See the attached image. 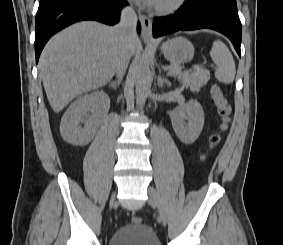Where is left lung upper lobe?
<instances>
[{"mask_svg":"<svg viewBox=\"0 0 283 245\" xmlns=\"http://www.w3.org/2000/svg\"><path fill=\"white\" fill-rule=\"evenodd\" d=\"M191 6H222L237 10L236 0H186L185 2Z\"/></svg>","mask_w":283,"mask_h":245,"instance_id":"5c2ea615","label":"left lung upper lobe"}]
</instances>
